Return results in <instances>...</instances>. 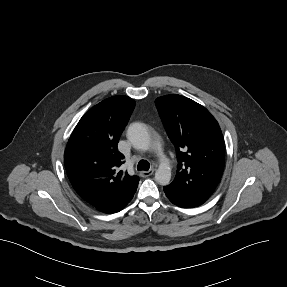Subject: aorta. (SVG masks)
I'll return each instance as SVG.
<instances>
[{"label":"aorta","mask_w":287,"mask_h":287,"mask_svg":"<svg viewBox=\"0 0 287 287\" xmlns=\"http://www.w3.org/2000/svg\"><path fill=\"white\" fill-rule=\"evenodd\" d=\"M128 140L134 148L146 151L150 148V136L142 123H133L127 130ZM155 180L160 185H168L171 180V168L168 164H160L155 172Z\"/></svg>","instance_id":"obj_1"}]
</instances>
